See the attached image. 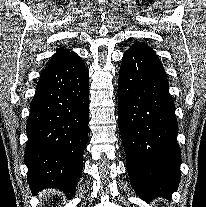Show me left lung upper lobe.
Instances as JSON below:
<instances>
[{"label":"left lung upper lobe","mask_w":206,"mask_h":207,"mask_svg":"<svg viewBox=\"0 0 206 207\" xmlns=\"http://www.w3.org/2000/svg\"><path fill=\"white\" fill-rule=\"evenodd\" d=\"M137 45H140L142 47H145V48H148V49H151L149 46H147L145 43H142V42H138L136 43Z\"/></svg>","instance_id":"left-lung-upper-lobe-1"}]
</instances>
